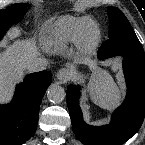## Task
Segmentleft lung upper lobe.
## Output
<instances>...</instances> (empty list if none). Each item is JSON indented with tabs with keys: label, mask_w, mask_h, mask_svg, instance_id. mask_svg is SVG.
<instances>
[{
	"label": "left lung upper lobe",
	"mask_w": 145,
	"mask_h": 145,
	"mask_svg": "<svg viewBox=\"0 0 145 145\" xmlns=\"http://www.w3.org/2000/svg\"><path fill=\"white\" fill-rule=\"evenodd\" d=\"M110 19L109 39L104 47L114 55H129L145 59V54L131 24L125 15L116 7L108 8Z\"/></svg>",
	"instance_id": "left-lung-upper-lobe-1"
}]
</instances>
